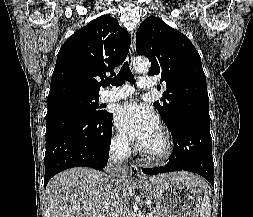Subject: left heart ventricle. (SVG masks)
Masks as SVG:
<instances>
[{"mask_svg": "<svg viewBox=\"0 0 253 217\" xmlns=\"http://www.w3.org/2000/svg\"><path fill=\"white\" fill-rule=\"evenodd\" d=\"M142 147L151 152V153H157L162 150L163 148V141L162 137L157 130L143 145Z\"/></svg>", "mask_w": 253, "mask_h": 217, "instance_id": "obj_1", "label": "left heart ventricle"}]
</instances>
